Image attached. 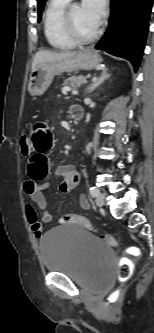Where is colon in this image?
Masks as SVG:
<instances>
[{
  "mask_svg": "<svg viewBox=\"0 0 154 333\" xmlns=\"http://www.w3.org/2000/svg\"><path fill=\"white\" fill-rule=\"evenodd\" d=\"M20 147L21 151L24 155H28L32 150L31 138L28 132H23L20 137ZM60 223H75L85 227L88 230H94L91 222L83 216L75 215V214H66L60 218ZM107 244L110 246H116L117 241L114 236L110 234H104L101 236ZM138 256V251L136 249H130L128 251V257L121 261L118 269V276L127 280L132 276L133 273V262L132 259ZM116 300V297L109 298L108 302H113Z\"/></svg>",
  "mask_w": 154,
  "mask_h": 333,
  "instance_id": "1",
  "label": "colon"
}]
</instances>
